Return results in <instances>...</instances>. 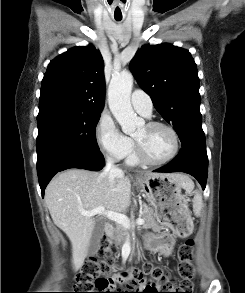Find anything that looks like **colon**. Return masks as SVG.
I'll use <instances>...</instances> for the list:
<instances>
[{
  "mask_svg": "<svg viewBox=\"0 0 245 293\" xmlns=\"http://www.w3.org/2000/svg\"><path fill=\"white\" fill-rule=\"evenodd\" d=\"M192 227L190 216L186 215L181 221L174 223L173 232L179 236L187 234ZM194 242L188 240L178 249V273L179 282L170 281L164 284L163 293H193L194 279ZM115 246L107 238L100 241L99 257L90 260L83 265L82 270L76 277V284L80 293H112L116 283L121 282L129 289L141 288L142 293H155L157 287L166 278L167 271L162 266L144 262L139 267L130 268L118 276L112 275L117 268L115 259ZM98 292H91V291ZM116 293V292H114Z\"/></svg>",
  "mask_w": 245,
  "mask_h": 293,
  "instance_id": "1",
  "label": "colon"
}]
</instances>
